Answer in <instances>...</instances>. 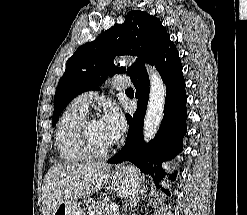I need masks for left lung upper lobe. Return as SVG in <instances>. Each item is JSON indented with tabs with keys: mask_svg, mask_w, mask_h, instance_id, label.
<instances>
[{
	"mask_svg": "<svg viewBox=\"0 0 247 215\" xmlns=\"http://www.w3.org/2000/svg\"><path fill=\"white\" fill-rule=\"evenodd\" d=\"M170 39L161 21L140 10L127 14L122 25L117 24L95 40L77 49L68 59L54 96L52 126L68 103L79 94L98 89L116 73L126 72L130 78L143 71L142 63L127 70L113 64L117 55H135L139 61L151 63L161 47Z\"/></svg>",
	"mask_w": 247,
	"mask_h": 215,
	"instance_id": "obj_1",
	"label": "left lung upper lobe"
}]
</instances>
